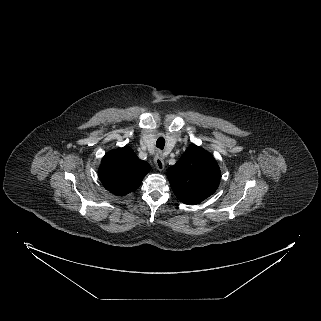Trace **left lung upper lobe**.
<instances>
[{
  "label": "left lung upper lobe",
  "instance_id": "left-lung-upper-lobe-1",
  "mask_svg": "<svg viewBox=\"0 0 321 321\" xmlns=\"http://www.w3.org/2000/svg\"><path fill=\"white\" fill-rule=\"evenodd\" d=\"M167 177L181 202L196 205L216 191L221 173L210 153L191 144L176 164L168 169Z\"/></svg>",
  "mask_w": 321,
  "mask_h": 321
}]
</instances>
